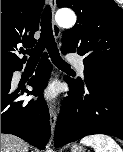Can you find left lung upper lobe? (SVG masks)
I'll use <instances>...</instances> for the list:
<instances>
[{"label":"left lung upper lobe","instance_id":"left-lung-upper-lobe-1","mask_svg":"<svg viewBox=\"0 0 123 152\" xmlns=\"http://www.w3.org/2000/svg\"><path fill=\"white\" fill-rule=\"evenodd\" d=\"M57 5L77 15L63 34L62 49L84 57V76H123V9L114 0H57Z\"/></svg>","mask_w":123,"mask_h":152}]
</instances>
